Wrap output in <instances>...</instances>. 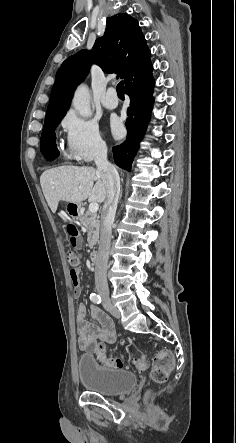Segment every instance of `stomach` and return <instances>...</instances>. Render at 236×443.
Returning a JSON list of instances; mask_svg holds the SVG:
<instances>
[{
    "instance_id": "obj_1",
    "label": "stomach",
    "mask_w": 236,
    "mask_h": 443,
    "mask_svg": "<svg viewBox=\"0 0 236 443\" xmlns=\"http://www.w3.org/2000/svg\"><path fill=\"white\" fill-rule=\"evenodd\" d=\"M66 212L67 214L74 218L78 219L81 216V204L76 203H68L66 206Z\"/></svg>"
}]
</instances>
